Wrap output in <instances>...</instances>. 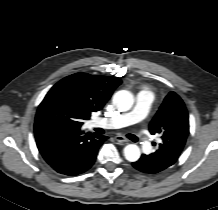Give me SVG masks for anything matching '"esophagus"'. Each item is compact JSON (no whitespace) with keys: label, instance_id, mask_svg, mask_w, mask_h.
Wrapping results in <instances>:
<instances>
[{"label":"esophagus","instance_id":"obj_1","mask_svg":"<svg viewBox=\"0 0 218 210\" xmlns=\"http://www.w3.org/2000/svg\"><path fill=\"white\" fill-rule=\"evenodd\" d=\"M114 138L119 143H127L128 142V140L121 135H116Z\"/></svg>","mask_w":218,"mask_h":210}]
</instances>
